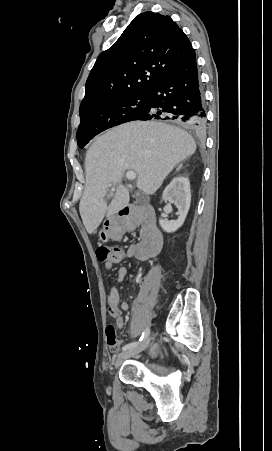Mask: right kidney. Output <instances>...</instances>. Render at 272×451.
I'll list each match as a JSON object with an SVG mask.
<instances>
[{
  "mask_svg": "<svg viewBox=\"0 0 272 451\" xmlns=\"http://www.w3.org/2000/svg\"><path fill=\"white\" fill-rule=\"evenodd\" d=\"M162 200L163 202L174 204L178 208L180 216L178 220H171V222L169 220H159V224L164 231H176L178 227L184 224L191 204V190L188 178H183V176L174 178L169 186L165 188Z\"/></svg>",
  "mask_w": 272,
  "mask_h": 451,
  "instance_id": "obj_1",
  "label": "right kidney"
}]
</instances>
